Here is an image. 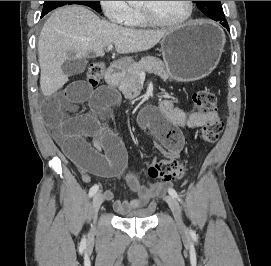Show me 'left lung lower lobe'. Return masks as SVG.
<instances>
[{"mask_svg":"<svg viewBox=\"0 0 271 266\" xmlns=\"http://www.w3.org/2000/svg\"><path fill=\"white\" fill-rule=\"evenodd\" d=\"M221 24L229 30V27H228L226 20L222 21Z\"/></svg>","mask_w":271,"mask_h":266,"instance_id":"0a47b994","label":"left lung lower lobe"}]
</instances>
